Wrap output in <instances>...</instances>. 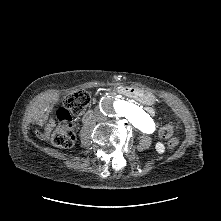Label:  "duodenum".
Wrapping results in <instances>:
<instances>
[{
  "label": "duodenum",
  "instance_id": "duodenum-1",
  "mask_svg": "<svg viewBox=\"0 0 221 221\" xmlns=\"http://www.w3.org/2000/svg\"><path fill=\"white\" fill-rule=\"evenodd\" d=\"M119 92L122 94H131L133 90L126 87V88L119 89ZM92 116H93V111L91 110L84 116L83 122L89 121L92 118Z\"/></svg>",
  "mask_w": 221,
  "mask_h": 221
}]
</instances>
